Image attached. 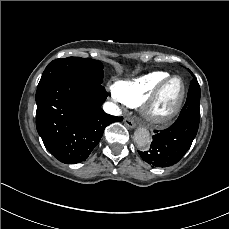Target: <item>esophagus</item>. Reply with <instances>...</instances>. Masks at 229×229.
I'll list each match as a JSON object with an SVG mask.
<instances>
[{
  "label": "esophagus",
  "mask_w": 229,
  "mask_h": 229,
  "mask_svg": "<svg viewBox=\"0 0 229 229\" xmlns=\"http://www.w3.org/2000/svg\"><path fill=\"white\" fill-rule=\"evenodd\" d=\"M124 123L129 127V128H135L137 126V123L134 119L130 117H126L124 119Z\"/></svg>",
  "instance_id": "34e87169"
}]
</instances>
